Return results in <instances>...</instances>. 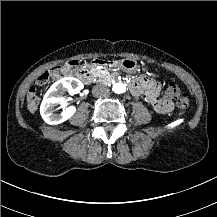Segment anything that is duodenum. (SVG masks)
Segmentation results:
<instances>
[{
    "mask_svg": "<svg viewBox=\"0 0 217 217\" xmlns=\"http://www.w3.org/2000/svg\"><path fill=\"white\" fill-rule=\"evenodd\" d=\"M116 66V62L112 60H105V59H96L91 64L85 66L81 70V79L85 83H90L93 79V71L95 68L98 67H114ZM129 89L134 94L139 92L140 86L136 81H131L129 83Z\"/></svg>",
    "mask_w": 217,
    "mask_h": 217,
    "instance_id": "1",
    "label": "duodenum"
}]
</instances>
